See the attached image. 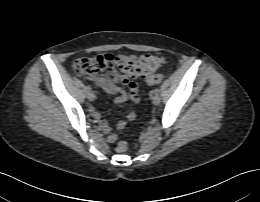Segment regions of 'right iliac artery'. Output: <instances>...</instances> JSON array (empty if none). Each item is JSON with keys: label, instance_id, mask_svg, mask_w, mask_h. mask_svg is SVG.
I'll use <instances>...</instances> for the list:
<instances>
[{"label": "right iliac artery", "instance_id": "1", "mask_svg": "<svg viewBox=\"0 0 260 202\" xmlns=\"http://www.w3.org/2000/svg\"><path fill=\"white\" fill-rule=\"evenodd\" d=\"M86 90H87V92H91V87H90V86H87V87H86Z\"/></svg>", "mask_w": 260, "mask_h": 202}]
</instances>
